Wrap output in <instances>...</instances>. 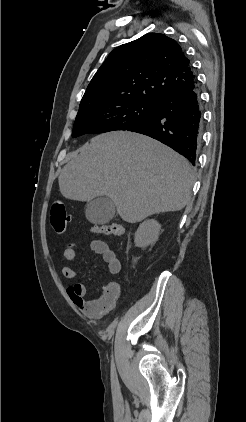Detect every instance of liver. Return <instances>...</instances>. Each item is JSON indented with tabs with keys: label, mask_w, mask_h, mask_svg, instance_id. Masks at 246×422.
I'll list each match as a JSON object with an SVG mask.
<instances>
[{
	"label": "liver",
	"mask_w": 246,
	"mask_h": 422,
	"mask_svg": "<svg viewBox=\"0 0 246 422\" xmlns=\"http://www.w3.org/2000/svg\"><path fill=\"white\" fill-rule=\"evenodd\" d=\"M194 172L183 156L145 135L114 131L81 147L59 175L70 200L109 197L129 223L179 211L191 200Z\"/></svg>",
	"instance_id": "1"
}]
</instances>
